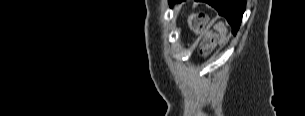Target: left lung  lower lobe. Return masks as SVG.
Listing matches in <instances>:
<instances>
[{
  "label": "left lung lower lobe",
  "instance_id": "0a47b994",
  "mask_svg": "<svg viewBox=\"0 0 305 116\" xmlns=\"http://www.w3.org/2000/svg\"><path fill=\"white\" fill-rule=\"evenodd\" d=\"M205 2L214 7L219 15H222L227 19L232 26V33L236 34L245 11V0H206Z\"/></svg>",
  "mask_w": 305,
  "mask_h": 116
}]
</instances>
